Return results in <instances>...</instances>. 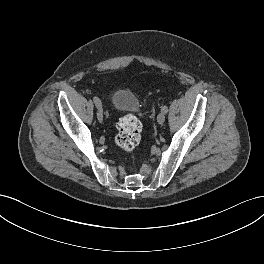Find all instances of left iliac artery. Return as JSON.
I'll use <instances>...</instances> for the list:
<instances>
[{"label":"left iliac artery","mask_w":264,"mask_h":264,"mask_svg":"<svg viewBox=\"0 0 264 264\" xmlns=\"http://www.w3.org/2000/svg\"><path fill=\"white\" fill-rule=\"evenodd\" d=\"M161 111L163 113H167L168 112V107L166 105H164L162 108H161Z\"/></svg>","instance_id":"1"}]
</instances>
